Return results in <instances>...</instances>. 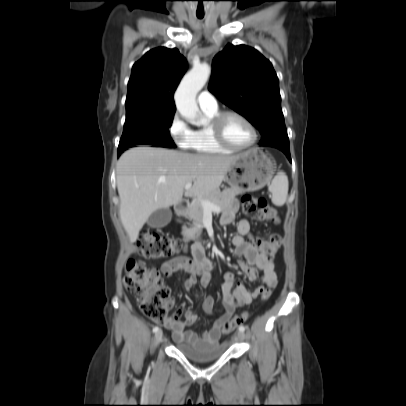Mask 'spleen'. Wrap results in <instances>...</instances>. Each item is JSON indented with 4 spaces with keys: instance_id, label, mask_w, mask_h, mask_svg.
<instances>
[{
    "instance_id": "3e777b00",
    "label": "spleen",
    "mask_w": 406,
    "mask_h": 406,
    "mask_svg": "<svg viewBox=\"0 0 406 406\" xmlns=\"http://www.w3.org/2000/svg\"><path fill=\"white\" fill-rule=\"evenodd\" d=\"M269 191L272 194V202L277 206H282L288 195V177L285 172L280 171L272 180Z\"/></svg>"
}]
</instances>
